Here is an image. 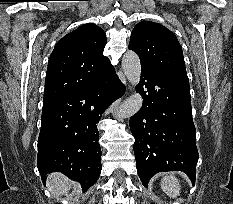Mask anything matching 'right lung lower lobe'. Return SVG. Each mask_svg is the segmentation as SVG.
I'll use <instances>...</instances> for the list:
<instances>
[{
  "instance_id": "1",
  "label": "right lung lower lobe",
  "mask_w": 233,
  "mask_h": 204,
  "mask_svg": "<svg viewBox=\"0 0 233 204\" xmlns=\"http://www.w3.org/2000/svg\"><path fill=\"white\" fill-rule=\"evenodd\" d=\"M125 87L110 66L93 84L43 105L37 167L43 182L58 171L81 183L83 190L101 173L97 123Z\"/></svg>"
}]
</instances>
